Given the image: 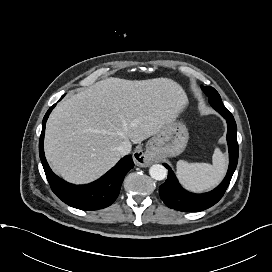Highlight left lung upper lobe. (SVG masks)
<instances>
[{
  "label": "left lung upper lobe",
  "mask_w": 272,
  "mask_h": 272,
  "mask_svg": "<svg viewBox=\"0 0 272 272\" xmlns=\"http://www.w3.org/2000/svg\"><path fill=\"white\" fill-rule=\"evenodd\" d=\"M202 89L205 92V94L208 96L209 102L214 101V100L221 101L220 95L218 94V92L214 88H212V87H202Z\"/></svg>",
  "instance_id": "5c2ea615"
}]
</instances>
